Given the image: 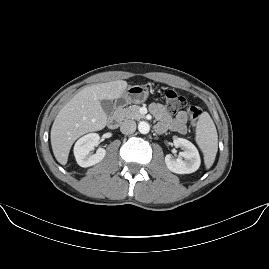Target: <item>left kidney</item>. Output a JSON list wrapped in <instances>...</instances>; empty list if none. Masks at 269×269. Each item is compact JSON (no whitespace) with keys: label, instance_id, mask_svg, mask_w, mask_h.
<instances>
[{"label":"left kidney","instance_id":"5707ae66","mask_svg":"<svg viewBox=\"0 0 269 269\" xmlns=\"http://www.w3.org/2000/svg\"><path fill=\"white\" fill-rule=\"evenodd\" d=\"M173 143L176 147L183 149L177 159L171 154H167L165 162L168 168L175 173H192L201 164L200 154L197 147L189 140L184 138H174Z\"/></svg>","mask_w":269,"mask_h":269}]
</instances>
